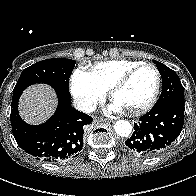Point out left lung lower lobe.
Here are the masks:
<instances>
[{"label":"left lung lower lobe","instance_id":"left-lung-lower-lobe-1","mask_svg":"<svg viewBox=\"0 0 196 196\" xmlns=\"http://www.w3.org/2000/svg\"><path fill=\"white\" fill-rule=\"evenodd\" d=\"M184 104L167 102L153 108L134 123V132L125 150L135 156L150 157L167 148L181 133Z\"/></svg>","mask_w":196,"mask_h":196}]
</instances>
